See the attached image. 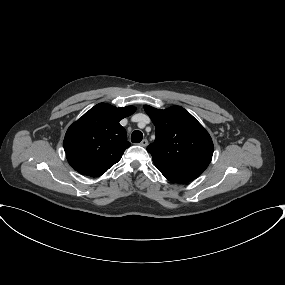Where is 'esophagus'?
I'll use <instances>...</instances> for the list:
<instances>
[{
    "instance_id": "esophagus-1",
    "label": "esophagus",
    "mask_w": 285,
    "mask_h": 285,
    "mask_svg": "<svg viewBox=\"0 0 285 285\" xmlns=\"http://www.w3.org/2000/svg\"><path fill=\"white\" fill-rule=\"evenodd\" d=\"M140 145L143 146V147H146L148 145V140L147 139H143L141 142H140Z\"/></svg>"
}]
</instances>
